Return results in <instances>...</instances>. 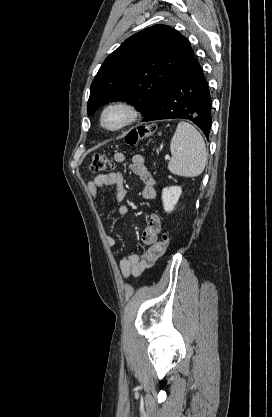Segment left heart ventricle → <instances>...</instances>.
<instances>
[{"label":"left heart ventricle","mask_w":272,"mask_h":417,"mask_svg":"<svg viewBox=\"0 0 272 417\" xmlns=\"http://www.w3.org/2000/svg\"><path fill=\"white\" fill-rule=\"evenodd\" d=\"M122 118V114L117 111L110 112L106 117V123L108 125H115L117 124Z\"/></svg>","instance_id":"obj_1"}]
</instances>
